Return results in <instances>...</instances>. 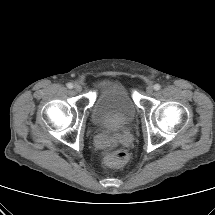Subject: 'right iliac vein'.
<instances>
[{
  "instance_id": "obj_1",
  "label": "right iliac vein",
  "mask_w": 215,
  "mask_h": 215,
  "mask_svg": "<svg viewBox=\"0 0 215 215\" xmlns=\"http://www.w3.org/2000/svg\"><path fill=\"white\" fill-rule=\"evenodd\" d=\"M74 90H75L76 92H81V90H82L81 85L75 84V85H74Z\"/></svg>"
}]
</instances>
